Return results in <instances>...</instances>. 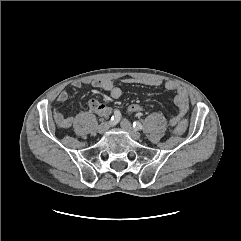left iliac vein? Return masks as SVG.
I'll list each match as a JSON object with an SVG mask.
<instances>
[{
  "instance_id": "left-iliac-vein-1",
  "label": "left iliac vein",
  "mask_w": 241,
  "mask_h": 241,
  "mask_svg": "<svg viewBox=\"0 0 241 241\" xmlns=\"http://www.w3.org/2000/svg\"><path fill=\"white\" fill-rule=\"evenodd\" d=\"M122 129L126 132L129 133V135L134 139V140H140L141 139V134L135 129L132 127L131 123L126 120V119H123L120 123Z\"/></svg>"
}]
</instances>
